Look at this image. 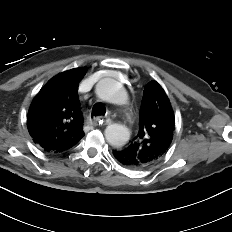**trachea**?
I'll list each match as a JSON object with an SVG mask.
<instances>
[{
    "label": "trachea",
    "instance_id": "obj_1",
    "mask_svg": "<svg viewBox=\"0 0 232 232\" xmlns=\"http://www.w3.org/2000/svg\"><path fill=\"white\" fill-rule=\"evenodd\" d=\"M106 113V108L101 103H96L92 108V117L93 116H103Z\"/></svg>",
    "mask_w": 232,
    "mask_h": 232
}]
</instances>
